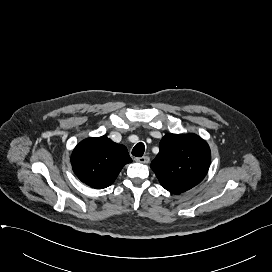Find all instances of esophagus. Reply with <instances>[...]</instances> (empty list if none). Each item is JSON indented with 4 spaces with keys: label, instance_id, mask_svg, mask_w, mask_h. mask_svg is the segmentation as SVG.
I'll return each instance as SVG.
<instances>
[{
    "label": "esophagus",
    "instance_id": "obj_1",
    "mask_svg": "<svg viewBox=\"0 0 272 272\" xmlns=\"http://www.w3.org/2000/svg\"><path fill=\"white\" fill-rule=\"evenodd\" d=\"M135 161L139 163H143V164H148L150 162V158L148 156H142V157L135 158Z\"/></svg>",
    "mask_w": 272,
    "mask_h": 272
}]
</instances>
